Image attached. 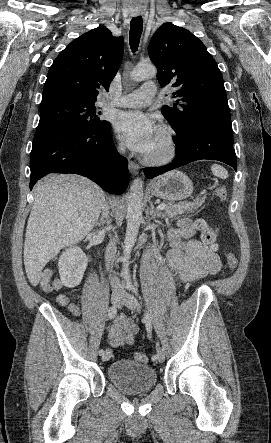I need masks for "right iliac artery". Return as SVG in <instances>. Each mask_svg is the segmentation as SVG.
I'll use <instances>...</instances> for the list:
<instances>
[{
	"label": "right iliac artery",
	"mask_w": 271,
	"mask_h": 443,
	"mask_svg": "<svg viewBox=\"0 0 271 443\" xmlns=\"http://www.w3.org/2000/svg\"><path fill=\"white\" fill-rule=\"evenodd\" d=\"M116 314H117V309H116V307H115V306L110 307L109 310H108V317H109V319H110V320L114 319L115 316H116ZM103 354H104V350H103V349H100V350H99V355H103Z\"/></svg>",
	"instance_id": "82829eb1"
}]
</instances>
